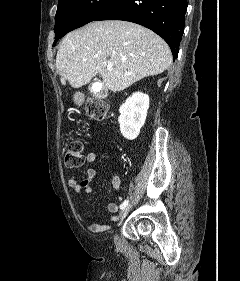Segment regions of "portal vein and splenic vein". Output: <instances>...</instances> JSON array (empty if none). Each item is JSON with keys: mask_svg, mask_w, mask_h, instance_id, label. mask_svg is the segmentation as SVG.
Here are the masks:
<instances>
[{"mask_svg": "<svg viewBox=\"0 0 240 281\" xmlns=\"http://www.w3.org/2000/svg\"><path fill=\"white\" fill-rule=\"evenodd\" d=\"M113 69V64L112 63H108L107 64V70L111 71Z\"/></svg>", "mask_w": 240, "mask_h": 281, "instance_id": "1", "label": "portal vein and splenic vein"}]
</instances>
